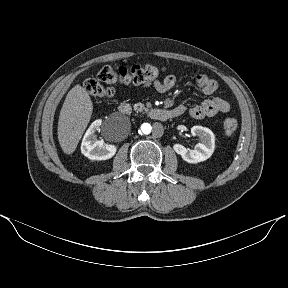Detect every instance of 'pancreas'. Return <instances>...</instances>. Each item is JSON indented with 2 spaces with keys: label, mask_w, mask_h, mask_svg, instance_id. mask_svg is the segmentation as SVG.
I'll list each match as a JSON object with an SVG mask.
<instances>
[{
  "label": "pancreas",
  "mask_w": 288,
  "mask_h": 288,
  "mask_svg": "<svg viewBox=\"0 0 288 288\" xmlns=\"http://www.w3.org/2000/svg\"><path fill=\"white\" fill-rule=\"evenodd\" d=\"M134 110L136 112H144V111L147 112L148 108H146L142 103H136L134 104Z\"/></svg>",
  "instance_id": "1"
}]
</instances>
